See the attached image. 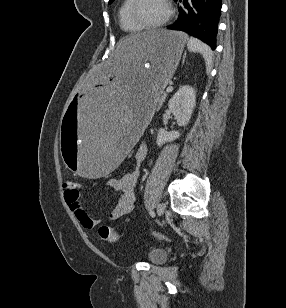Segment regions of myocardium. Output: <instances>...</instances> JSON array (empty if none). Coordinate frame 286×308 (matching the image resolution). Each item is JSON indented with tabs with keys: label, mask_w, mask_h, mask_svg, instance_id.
<instances>
[{
	"label": "myocardium",
	"mask_w": 286,
	"mask_h": 308,
	"mask_svg": "<svg viewBox=\"0 0 286 308\" xmlns=\"http://www.w3.org/2000/svg\"><path fill=\"white\" fill-rule=\"evenodd\" d=\"M139 2L140 0H131V5L129 7V17L133 23H135L138 27L142 28L143 30L159 29L165 26L173 15V8L170 3V0H164L166 10H167L165 17L157 23H153V24L144 23L143 21L139 19L137 15V7H138Z\"/></svg>",
	"instance_id": "obj_1"
}]
</instances>
